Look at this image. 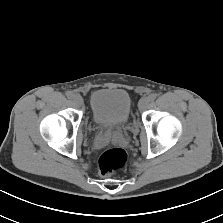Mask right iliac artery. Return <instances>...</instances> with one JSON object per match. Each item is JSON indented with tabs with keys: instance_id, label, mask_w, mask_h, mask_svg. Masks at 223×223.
Instances as JSON below:
<instances>
[{
	"instance_id": "right-iliac-artery-1",
	"label": "right iliac artery",
	"mask_w": 223,
	"mask_h": 223,
	"mask_svg": "<svg viewBox=\"0 0 223 223\" xmlns=\"http://www.w3.org/2000/svg\"><path fill=\"white\" fill-rule=\"evenodd\" d=\"M66 96H67L69 99H71V98H73L74 94H73V92H71V91H67V92H66Z\"/></svg>"
}]
</instances>
